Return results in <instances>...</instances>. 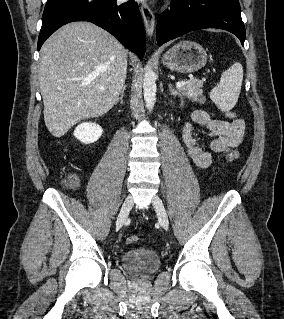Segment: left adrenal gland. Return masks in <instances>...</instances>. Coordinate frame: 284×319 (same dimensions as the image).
<instances>
[{
  "mask_svg": "<svg viewBox=\"0 0 284 319\" xmlns=\"http://www.w3.org/2000/svg\"><path fill=\"white\" fill-rule=\"evenodd\" d=\"M169 91L171 93V95L173 96H178L181 100V102H183V95L180 91L176 90L171 84H169Z\"/></svg>",
  "mask_w": 284,
  "mask_h": 319,
  "instance_id": "left-adrenal-gland-1",
  "label": "left adrenal gland"
}]
</instances>
